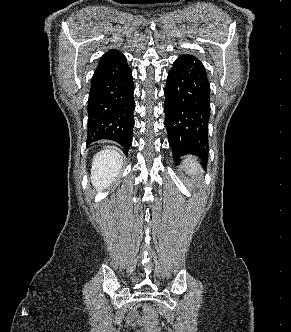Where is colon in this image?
<instances>
[{
	"mask_svg": "<svg viewBox=\"0 0 291 332\" xmlns=\"http://www.w3.org/2000/svg\"><path fill=\"white\" fill-rule=\"evenodd\" d=\"M143 313H144L143 319L146 325L145 332H159L158 315L156 310L151 306L146 305L143 308Z\"/></svg>",
	"mask_w": 291,
	"mask_h": 332,
	"instance_id": "5ec220e1",
	"label": "colon"
}]
</instances>
